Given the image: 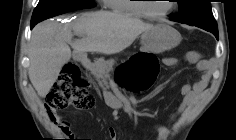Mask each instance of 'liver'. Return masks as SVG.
<instances>
[{
    "instance_id": "6515ba94",
    "label": "liver",
    "mask_w": 236,
    "mask_h": 140,
    "mask_svg": "<svg viewBox=\"0 0 236 140\" xmlns=\"http://www.w3.org/2000/svg\"><path fill=\"white\" fill-rule=\"evenodd\" d=\"M153 25L115 12L99 11L81 15L71 26L44 21L31 34L29 79L40 97H46L62 67L76 54H116ZM73 31V32H72ZM73 33L80 38L72 41Z\"/></svg>"
}]
</instances>
